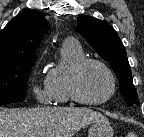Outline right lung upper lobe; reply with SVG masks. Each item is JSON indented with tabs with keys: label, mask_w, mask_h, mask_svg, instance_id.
I'll return each instance as SVG.
<instances>
[{
	"label": "right lung upper lobe",
	"mask_w": 144,
	"mask_h": 137,
	"mask_svg": "<svg viewBox=\"0 0 144 137\" xmlns=\"http://www.w3.org/2000/svg\"><path fill=\"white\" fill-rule=\"evenodd\" d=\"M48 28L44 15L24 10L0 32V63L35 59L36 51Z\"/></svg>",
	"instance_id": "obj_1"
}]
</instances>
